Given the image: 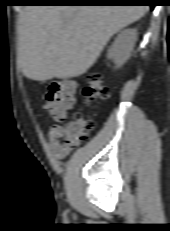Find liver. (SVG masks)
I'll return each mask as SVG.
<instances>
[{
	"label": "liver",
	"mask_w": 170,
	"mask_h": 231,
	"mask_svg": "<svg viewBox=\"0 0 170 231\" xmlns=\"http://www.w3.org/2000/svg\"><path fill=\"white\" fill-rule=\"evenodd\" d=\"M147 6H27L19 15L18 64L31 80L77 77L110 38L138 21Z\"/></svg>",
	"instance_id": "obj_1"
}]
</instances>
